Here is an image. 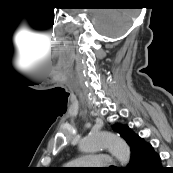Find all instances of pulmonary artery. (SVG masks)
<instances>
[{
  "label": "pulmonary artery",
  "instance_id": "e3ab8cb5",
  "mask_svg": "<svg viewBox=\"0 0 173 173\" xmlns=\"http://www.w3.org/2000/svg\"><path fill=\"white\" fill-rule=\"evenodd\" d=\"M70 164L72 166L85 168H101L110 166L112 164V160L108 155H91L78 158Z\"/></svg>",
  "mask_w": 173,
  "mask_h": 173
}]
</instances>
